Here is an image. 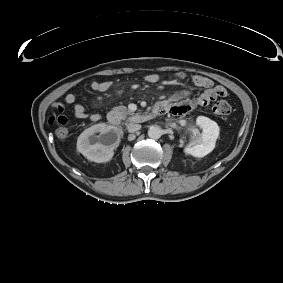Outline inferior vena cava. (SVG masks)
Returning a JSON list of instances; mask_svg holds the SVG:
<instances>
[{
	"instance_id": "obj_1",
	"label": "inferior vena cava",
	"mask_w": 283,
	"mask_h": 283,
	"mask_svg": "<svg viewBox=\"0 0 283 283\" xmlns=\"http://www.w3.org/2000/svg\"><path fill=\"white\" fill-rule=\"evenodd\" d=\"M140 129H141V125L140 124L129 123L127 125V130L130 133L136 132V131H138Z\"/></svg>"
}]
</instances>
